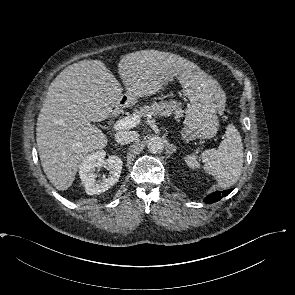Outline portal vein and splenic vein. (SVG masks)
<instances>
[{
  "label": "portal vein and splenic vein",
  "instance_id": "1",
  "mask_svg": "<svg viewBox=\"0 0 295 295\" xmlns=\"http://www.w3.org/2000/svg\"><path fill=\"white\" fill-rule=\"evenodd\" d=\"M140 123V117L139 116H127L125 118H122L120 120H118L113 128L114 130H126V129H130L132 127H135L136 125H138Z\"/></svg>",
  "mask_w": 295,
  "mask_h": 295
}]
</instances>
